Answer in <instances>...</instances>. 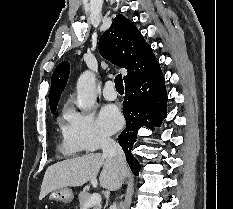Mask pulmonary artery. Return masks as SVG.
Returning a JSON list of instances; mask_svg holds the SVG:
<instances>
[{"instance_id":"pulmonary-artery-1","label":"pulmonary artery","mask_w":233,"mask_h":209,"mask_svg":"<svg viewBox=\"0 0 233 209\" xmlns=\"http://www.w3.org/2000/svg\"><path fill=\"white\" fill-rule=\"evenodd\" d=\"M103 95L107 100H115L117 92L112 81H107L103 87Z\"/></svg>"}]
</instances>
